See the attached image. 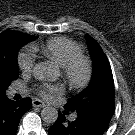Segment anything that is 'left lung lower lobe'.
<instances>
[{"mask_svg":"<svg viewBox=\"0 0 135 135\" xmlns=\"http://www.w3.org/2000/svg\"><path fill=\"white\" fill-rule=\"evenodd\" d=\"M68 111H59L56 122L50 126L49 135H102L113 115L101 109L74 110L75 120L68 121L65 117Z\"/></svg>","mask_w":135,"mask_h":135,"instance_id":"0a47b994","label":"left lung lower lobe"}]
</instances>
